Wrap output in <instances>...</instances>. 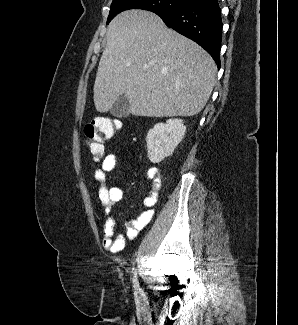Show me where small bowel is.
<instances>
[{
  "mask_svg": "<svg viewBox=\"0 0 298 325\" xmlns=\"http://www.w3.org/2000/svg\"><path fill=\"white\" fill-rule=\"evenodd\" d=\"M95 160H98V158ZM117 161V155H106L94 174L95 179L101 182L98 196L106 214L102 243L104 248L112 253L122 251L125 246L126 238L133 240L138 235L139 231L150 223L154 215L158 191L161 186L159 169L156 167L149 168L146 175L150 181V191L143 201L144 210L141 214L132 216L125 222V235L116 234V215L112 208L122 200L124 192L120 186H107L106 181L112 176Z\"/></svg>",
  "mask_w": 298,
  "mask_h": 325,
  "instance_id": "obj_1",
  "label": "small bowel"
}]
</instances>
